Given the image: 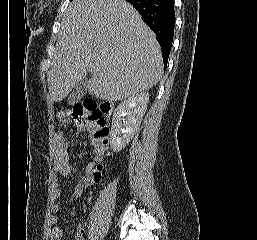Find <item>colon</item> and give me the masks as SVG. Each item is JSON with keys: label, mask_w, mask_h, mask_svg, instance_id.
I'll return each instance as SVG.
<instances>
[{"label": "colon", "mask_w": 257, "mask_h": 240, "mask_svg": "<svg viewBox=\"0 0 257 240\" xmlns=\"http://www.w3.org/2000/svg\"><path fill=\"white\" fill-rule=\"evenodd\" d=\"M108 107L99 106L93 100H87L75 105L69 112L70 117L81 127L91 133L92 143L98 154L99 161L94 166V174L101 177L104 171L101 158L107 152L109 129L106 126Z\"/></svg>", "instance_id": "obj_1"}]
</instances>
